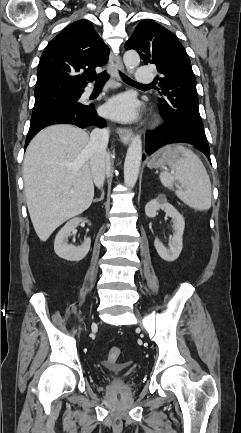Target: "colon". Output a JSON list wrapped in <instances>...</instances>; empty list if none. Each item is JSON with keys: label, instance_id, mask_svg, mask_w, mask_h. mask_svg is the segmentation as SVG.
I'll return each mask as SVG.
<instances>
[{"label": "colon", "instance_id": "colon-1", "mask_svg": "<svg viewBox=\"0 0 241 433\" xmlns=\"http://www.w3.org/2000/svg\"><path fill=\"white\" fill-rule=\"evenodd\" d=\"M120 349L118 347H113L110 349L107 355L106 364L113 365L120 356Z\"/></svg>", "mask_w": 241, "mask_h": 433}]
</instances>
